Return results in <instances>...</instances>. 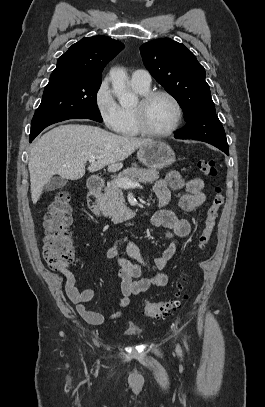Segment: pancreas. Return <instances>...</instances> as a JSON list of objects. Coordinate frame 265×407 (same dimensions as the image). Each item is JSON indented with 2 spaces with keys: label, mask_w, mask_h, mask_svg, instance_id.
I'll use <instances>...</instances> for the list:
<instances>
[{
  "label": "pancreas",
  "mask_w": 265,
  "mask_h": 407,
  "mask_svg": "<svg viewBox=\"0 0 265 407\" xmlns=\"http://www.w3.org/2000/svg\"><path fill=\"white\" fill-rule=\"evenodd\" d=\"M159 178V173L153 169L131 167L120 172L112 181L108 182L105 193L100 198V209L104 216L119 222L126 218L127 206L122 188L117 185L120 179L138 180L142 183H153Z\"/></svg>",
  "instance_id": "1"
}]
</instances>
